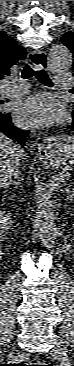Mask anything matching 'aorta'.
<instances>
[{"label":"aorta","mask_w":74,"mask_h":366,"mask_svg":"<svg viewBox=\"0 0 74 366\" xmlns=\"http://www.w3.org/2000/svg\"><path fill=\"white\" fill-rule=\"evenodd\" d=\"M48 56L49 68L54 72L65 71L72 65V53L64 45H53ZM37 234L44 246L53 247L56 239V215L49 202L43 203L37 212Z\"/></svg>","instance_id":"obj_1"}]
</instances>
